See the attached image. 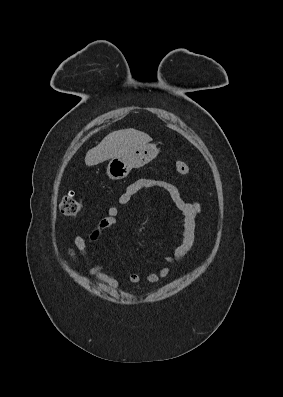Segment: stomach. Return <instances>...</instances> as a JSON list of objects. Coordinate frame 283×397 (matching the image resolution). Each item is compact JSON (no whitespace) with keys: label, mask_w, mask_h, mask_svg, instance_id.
<instances>
[{"label":"stomach","mask_w":283,"mask_h":397,"mask_svg":"<svg viewBox=\"0 0 283 397\" xmlns=\"http://www.w3.org/2000/svg\"><path fill=\"white\" fill-rule=\"evenodd\" d=\"M158 153L155 145H143L125 157L111 159L107 166V175L113 180L123 179L133 168H140L151 162Z\"/></svg>","instance_id":"0dacf381"}]
</instances>
